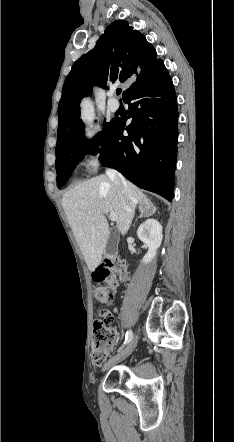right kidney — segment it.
<instances>
[{
    "instance_id": "right-kidney-1",
    "label": "right kidney",
    "mask_w": 234,
    "mask_h": 442,
    "mask_svg": "<svg viewBox=\"0 0 234 442\" xmlns=\"http://www.w3.org/2000/svg\"><path fill=\"white\" fill-rule=\"evenodd\" d=\"M137 236L149 248L142 262L150 263L155 258L157 249L162 242V226L155 219H147L139 226Z\"/></svg>"
}]
</instances>
